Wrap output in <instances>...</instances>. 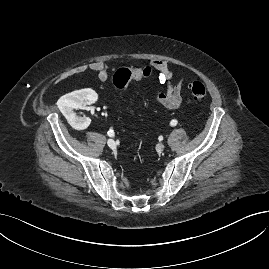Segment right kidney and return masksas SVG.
<instances>
[{"mask_svg": "<svg viewBox=\"0 0 269 269\" xmlns=\"http://www.w3.org/2000/svg\"><path fill=\"white\" fill-rule=\"evenodd\" d=\"M98 98L97 93L92 89L76 90L62 96L58 102V108L70 124L81 125V128H87L91 122L88 117H79L73 109L82 108L85 104L95 103Z\"/></svg>", "mask_w": 269, "mask_h": 269, "instance_id": "1", "label": "right kidney"}]
</instances>
